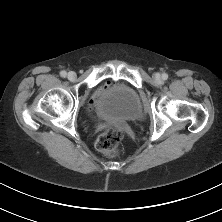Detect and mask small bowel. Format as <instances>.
Segmentation results:
<instances>
[{
    "mask_svg": "<svg viewBox=\"0 0 222 222\" xmlns=\"http://www.w3.org/2000/svg\"><path fill=\"white\" fill-rule=\"evenodd\" d=\"M109 84L110 82H107L105 85H103L99 90L95 91L92 96H91V99H90V108L93 106V104L95 103V100L98 96H102L106 93V91L109 89ZM98 127H101L99 124H98Z\"/></svg>",
    "mask_w": 222,
    "mask_h": 222,
    "instance_id": "1",
    "label": "small bowel"
}]
</instances>
